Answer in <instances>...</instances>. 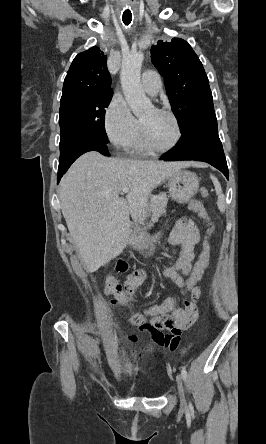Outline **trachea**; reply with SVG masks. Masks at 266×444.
I'll return each instance as SVG.
<instances>
[{"mask_svg": "<svg viewBox=\"0 0 266 444\" xmlns=\"http://www.w3.org/2000/svg\"><path fill=\"white\" fill-rule=\"evenodd\" d=\"M132 20V13L129 9L125 10L122 16L123 23L128 26Z\"/></svg>", "mask_w": 266, "mask_h": 444, "instance_id": "trachea-1", "label": "trachea"}]
</instances>
